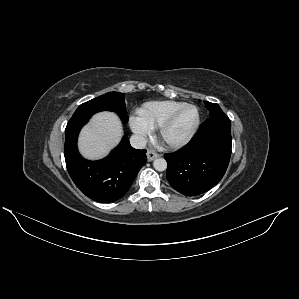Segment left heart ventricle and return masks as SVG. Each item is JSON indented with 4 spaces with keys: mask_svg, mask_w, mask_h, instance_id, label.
<instances>
[{
    "mask_svg": "<svg viewBox=\"0 0 299 299\" xmlns=\"http://www.w3.org/2000/svg\"><path fill=\"white\" fill-rule=\"evenodd\" d=\"M197 119V111L193 107L184 109L166 132V138L174 141L186 136Z\"/></svg>",
    "mask_w": 299,
    "mask_h": 299,
    "instance_id": "obj_1",
    "label": "left heart ventricle"
}]
</instances>
